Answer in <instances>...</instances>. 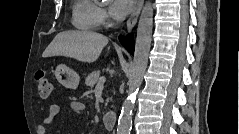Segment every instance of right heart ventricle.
Returning <instances> with one entry per match:
<instances>
[{
    "mask_svg": "<svg viewBox=\"0 0 239 134\" xmlns=\"http://www.w3.org/2000/svg\"><path fill=\"white\" fill-rule=\"evenodd\" d=\"M98 6L91 0H77L72 8V24L81 30H92L97 27Z\"/></svg>",
    "mask_w": 239,
    "mask_h": 134,
    "instance_id": "1",
    "label": "right heart ventricle"
}]
</instances>
